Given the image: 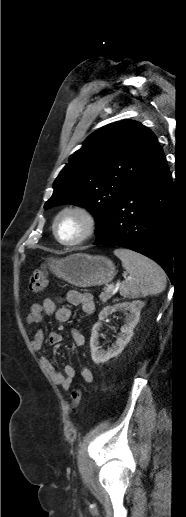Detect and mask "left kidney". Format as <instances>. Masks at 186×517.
Returning a JSON list of instances; mask_svg holds the SVG:
<instances>
[{"instance_id": "1", "label": "left kidney", "mask_w": 186, "mask_h": 517, "mask_svg": "<svg viewBox=\"0 0 186 517\" xmlns=\"http://www.w3.org/2000/svg\"><path fill=\"white\" fill-rule=\"evenodd\" d=\"M143 306L144 303L142 301L136 300L132 302L118 303L114 306H106L103 308L98 315L99 321L95 323L92 328L90 338L91 357L95 364L104 363L123 351L124 347L130 342L133 336V330L139 321L140 312ZM116 311L124 312L127 315V318L125 320V324L121 327V333L119 334L115 344L105 351L101 349L98 341V332L101 328V321ZM128 311L129 314L127 313Z\"/></svg>"}]
</instances>
